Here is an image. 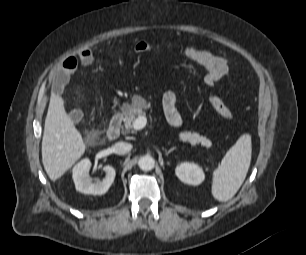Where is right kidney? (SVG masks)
Masks as SVG:
<instances>
[{
    "instance_id": "right-kidney-1",
    "label": "right kidney",
    "mask_w": 306,
    "mask_h": 255,
    "mask_svg": "<svg viewBox=\"0 0 306 255\" xmlns=\"http://www.w3.org/2000/svg\"><path fill=\"white\" fill-rule=\"evenodd\" d=\"M91 162L89 159H83L73 168V180L77 191L84 194L102 195L105 194L115 179V169L110 166H104L105 177L102 181L92 182L89 177Z\"/></svg>"
}]
</instances>
